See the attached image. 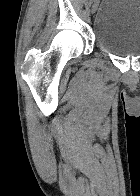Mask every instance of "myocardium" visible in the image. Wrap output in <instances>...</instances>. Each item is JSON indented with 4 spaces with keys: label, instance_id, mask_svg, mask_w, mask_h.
<instances>
[{
    "label": "myocardium",
    "instance_id": "obj_1",
    "mask_svg": "<svg viewBox=\"0 0 140 196\" xmlns=\"http://www.w3.org/2000/svg\"><path fill=\"white\" fill-rule=\"evenodd\" d=\"M88 192H105V191H88ZM121 192H126V191H121Z\"/></svg>",
    "mask_w": 140,
    "mask_h": 196
}]
</instances>
